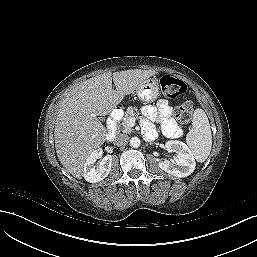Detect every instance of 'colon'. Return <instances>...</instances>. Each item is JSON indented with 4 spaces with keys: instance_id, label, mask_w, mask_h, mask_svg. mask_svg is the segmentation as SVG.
I'll return each instance as SVG.
<instances>
[{
    "instance_id": "5ec220e1",
    "label": "colon",
    "mask_w": 257,
    "mask_h": 257,
    "mask_svg": "<svg viewBox=\"0 0 257 257\" xmlns=\"http://www.w3.org/2000/svg\"><path fill=\"white\" fill-rule=\"evenodd\" d=\"M158 83L161 87L162 93L167 98H176L186 92V84L171 75L162 74L158 77ZM194 105L190 101H185L179 104L176 108V117L182 124L190 121Z\"/></svg>"
}]
</instances>
